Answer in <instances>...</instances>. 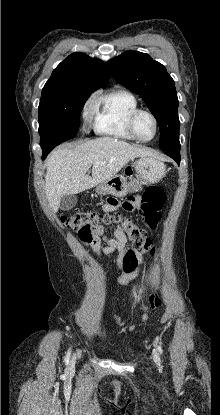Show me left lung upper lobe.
Returning a JSON list of instances; mask_svg holds the SVG:
<instances>
[{"label":"left lung upper lobe","mask_w":220,"mask_h":415,"mask_svg":"<svg viewBox=\"0 0 220 415\" xmlns=\"http://www.w3.org/2000/svg\"><path fill=\"white\" fill-rule=\"evenodd\" d=\"M107 66L119 84L143 98L157 119L159 147L165 151H179V102L174 80L166 68L148 54L132 50L109 60Z\"/></svg>","instance_id":"left-lung-upper-lobe-1"}]
</instances>
